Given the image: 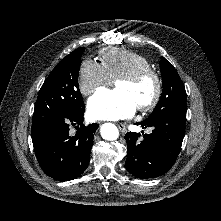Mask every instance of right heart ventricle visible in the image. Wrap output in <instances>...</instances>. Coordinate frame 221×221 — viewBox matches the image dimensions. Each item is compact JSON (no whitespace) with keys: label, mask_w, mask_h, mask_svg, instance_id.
<instances>
[{"label":"right heart ventricle","mask_w":221,"mask_h":221,"mask_svg":"<svg viewBox=\"0 0 221 221\" xmlns=\"http://www.w3.org/2000/svg\"><path fill=\"white\" fill-rule=\"evenodd\" d=\"M99 59L113 80L139 69L151 68V63L145 56L126 48H105L100 52Z\"/></svg>","instance_id":"1"}]
</instances>
